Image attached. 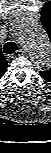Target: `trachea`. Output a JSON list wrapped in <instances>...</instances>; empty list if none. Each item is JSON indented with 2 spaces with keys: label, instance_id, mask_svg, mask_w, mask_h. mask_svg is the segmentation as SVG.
Returning a JSON list of instances; mask_svg holds the SVG:
<instances>
[{
  "label": "trachea",
  "instance_id": "trachea-1",
  "mask_svg": "<svg viewBox=\"0 0 51 153\" xmlns=\"http://www.w3.org/2000/svg\"><path fill=\"white\" fill-rule=\"evenodd\" d=\"M17 46L15 42L9 41L4 45V52L7 54H12L16 51Z\"/></svg>",
  "mask_w": 51,
  "mask_h": 153
}]
</instances>
